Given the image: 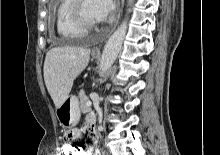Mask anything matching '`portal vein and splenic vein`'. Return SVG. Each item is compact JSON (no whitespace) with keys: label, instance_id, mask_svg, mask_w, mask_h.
Here are the masks:
<instances>
[{"label":"portal vein and splenic vein","instance_id":"1","mask_svg":"<svg viewBox=\"0 0 220 155\" xmlns=\"http://www.w3.org/2000/svg\"><path fill=\"white\" fill-rule=\"evenodd\" d=\"M92 105V102L91 101H88L87 103H86V106H88V107H90Z\"/></svg>","mask_w":220,"mask_h":155}]
</instances>
